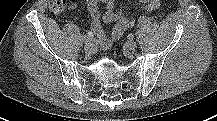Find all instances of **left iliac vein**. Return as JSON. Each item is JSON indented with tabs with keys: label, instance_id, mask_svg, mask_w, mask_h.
I'll return each mask as SVG.
<instances>
[{
	"label": "left iliac vein",
	"instance_id": "left-iliac-vein-1",
	"mask_svg": "<svg viewBox=\"0 0 217 121\" xmlns=\"http://www.w3.org/2000/svg\"><path fill=\"white\" fill-rule=\"evenodd\" d=\"M125 49L128 51H133L135 50V48L137 47V43L135 40L133 39H129L126 43H125Z\"/></svg>",
	"mask_w": 217,
	"mask_h": 121
}]
</instances>
